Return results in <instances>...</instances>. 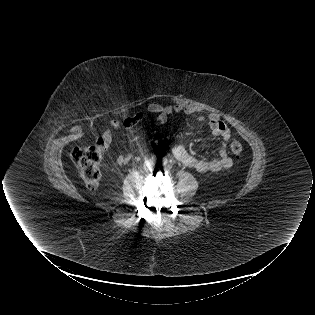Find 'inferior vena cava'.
<instances>
[{
	"label": "inferior vena cava",
	"mask_w": 315,
	"mask_h": 315,
	"mask_svg": "<svg viewBox=\"0 0 315 315\" xmlns=\"http://www.w3.org/2000/svg\"><path fill=\"white\" fill-rule=\"evenodd\" d=\"M154 163L152 161L148 162V165H145V169H151L153 167Z\"/></svg>",
	"instance_id": "obj_1"
}]
</instances>
